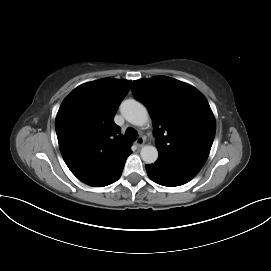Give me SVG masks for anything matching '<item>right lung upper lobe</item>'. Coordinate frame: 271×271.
<instances>
[{"label": "right lung upper lobe", "instance_id": "cb5924a9", "mask_svg": "<svg viewBox=\"0 0 271 271\" xmlns=\"http://www.w3.org/2000/svg\"><path fill=\"white\" fill-rule=\"evenodd\" d=\"M129 80L103 78L75 88L55 120L61 154L71 172L94 186L107 180L132 153L114 122Z\"/></svg>", "mask_w": 271, "mask_h": 271}]
</instances>
